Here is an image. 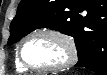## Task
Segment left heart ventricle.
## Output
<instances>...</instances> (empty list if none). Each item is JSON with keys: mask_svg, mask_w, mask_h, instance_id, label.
Segmentation results:
<instances>
[{"mask_svg": "<svg viewBox=\"0 0 107 75\" xmlns=\"http://www.w3.org/2000/svg\"><path fill=\"white\" fill-rule=\"evenodd\" d=\"M24 59L33 66H51L64 62L68 57L65 45L54 37L37 35L23 48Z\"/></svg>", "mask_w": 107, "mask_h": 75, "instance_id": "b2bd125f", "label": "left heart ventricle"}]
</instances>
